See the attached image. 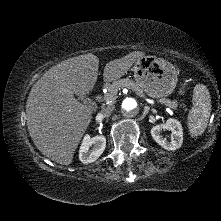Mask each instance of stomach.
I'll use <instances>...</instances> for the list:
<instances>
[{"label":"stomach","mask_w":221,"mask_h":221,"mask_svg":"<svg viewBox=\"0 0 221 221\" xmlns=\"http://www.w3.org/2000/svg\"><path fill=\"white\" fill-rule=\"evenodd\" d=\"M133 71L136 83L150 97H167L176 87V68L163 58L140 57L135 61Z\"/></svg>","instance_id":"1"}]
</instances>
